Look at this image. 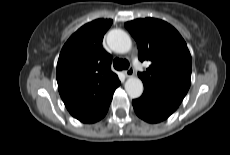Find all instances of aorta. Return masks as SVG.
I'll use <instances>...</instances> for the list:
<instances>
[{"mask_svg":"<svg viewBox=\"0 0 230 155\" xmlns=\"http://www.w3.org/2000/svg\"><path fill=\"white\" fill-rule=\"evenodd\" d=\"M107 43L116 53H127L132 47L130 36L121 29H113L107 35ZM125 90L130 98H138L143 93V83L137 77H130L125 82Z\"/></svg>","mask_w":230,"mask_h":155,"instance_id":"obj_1","label":"aorta"}]
</instances>
